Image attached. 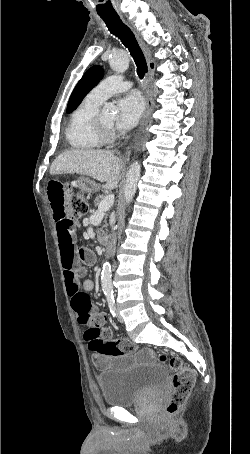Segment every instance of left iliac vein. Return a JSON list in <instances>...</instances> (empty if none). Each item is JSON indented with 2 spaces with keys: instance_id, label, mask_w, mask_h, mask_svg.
<instances>
[{
  "instance_id": "left-iliac-vein-1",
  "label": "left iliac vein",
  "mask_w": 250,
  "mask_h": 454,
  "mask_svg": "<svg viewBox=\"0 0 250 454\" xmlns=\"http://www.w3.org/2000/svg\"><path fill=\"white\" fill-rule=\"evenodd\" d=\"M117 318L119 322H123V317L120 315L119 310L117 309Z\"/></svg>"
}]
</instances>
